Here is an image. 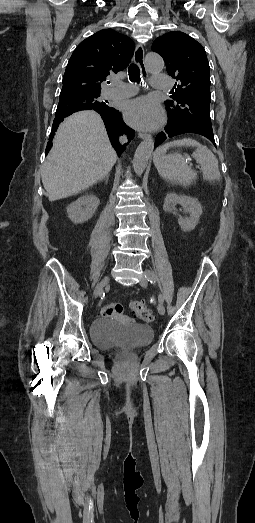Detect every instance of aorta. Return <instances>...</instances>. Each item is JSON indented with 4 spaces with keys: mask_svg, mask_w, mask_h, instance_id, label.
Listing matches in <instances>:
<instances>
[{
    "mask_svg": "<svg viewBox=\"0 0 255 523\" xmlns=\"http://www.w3.org/2000/svg\"><path fill=\"white\" fill-rule=\"evenodd\" d=\"M145 65L150 73H159L164 68L162 57L156 53H148L145 57ZM154 149V140L149 137L142 141L137 147L133 158V169L140 176L146 169L148 160Z\"/></svg>",
    "mask_w": 255,
    "mask_h": 523,
    "instance_id": "aorta-1",
    "label": "aorta"
}]
</instances>
